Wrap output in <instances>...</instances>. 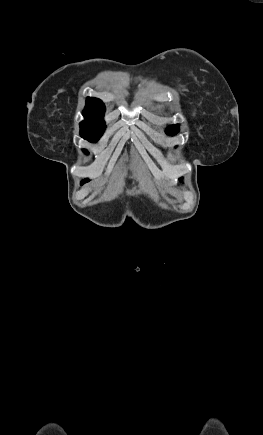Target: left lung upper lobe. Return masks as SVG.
<instances>
[{
    "label": "left lung upper lobe",
    "instance_id": "5c2ea615",
    "mask_svg": "<svg viewBox=\"0 0 263 435\" xmlns=\"http://www.w3.org/2000/svg\"><path fill=\"white\" fill-rule=\"evenodd\" d=\"M178 132V125H172L167 128L166 133L169 135H175Z\"/></svg>",
    "mask_w": 263,
    "mask_h": 435
}]
</instances>
